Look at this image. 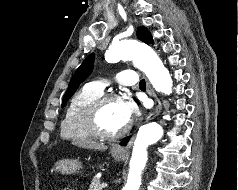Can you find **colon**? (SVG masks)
Listing matches in <instances>:
<instances>
[{
  "mask_svg": "<svg viewBox=\"0 0 238 190\" xmlns=\"http://www.w3.org/2000/svg\"><path fill=\"white\" fill-rule=\"evenodd\" d=\"M63 190H74V189H72L71 187H66Z\"/></svg>",
  "mask_w": 238,
  "mask_h": 190,
  "instance_id": "5ec220e1",
  "label": "colon"
}]
</instances>
